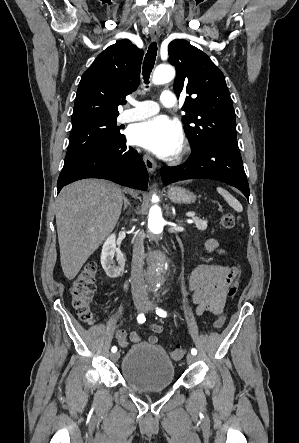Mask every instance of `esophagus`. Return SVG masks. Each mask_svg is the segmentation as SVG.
Masks as SVG:
<instances>
[{"label":"esophagus","mask_w":299,"mask_h":443,"mask_svg":"<svg viewBox=\"0 0 299 443\" xmlns=\"http://www.w3.org/2000/svg\"><path fill=\"white\" fill-rule=\"evenodd\" d=\"M150 34L153 40L158 39L159 37V29L157 27H152L150 30ZM143 160L145 163V166L148 170L149 173H153L156 169V162L154 161V159L152 157H150L147 154L143 155Z\"/></svg>","instance_id":"obj_1"}]
</instances>
